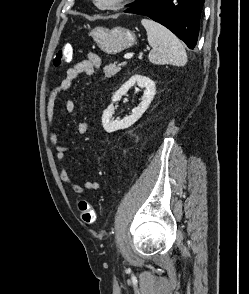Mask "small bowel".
<instances>
[{
  "label": "small bowel",
  "mask_w": 249,
  "mask_h": 294,
  "mask_svg": "<svg viewBox=\"0 0 249 294\" xmlns=\"http://www.w3.org/2000/svg\"><path fill=\"white\" fill-rule=\"evenodd\" d=\"M102 65V59L96 53L90 52L87 58L74 64L66 71L65 78L52 90L47 106L46 116L48 122V138L50 145L55 150L56 159L59 162V178L61 182L70 187L72 193L80 195L85 190L96 191L101 188V183L98 181H86L83 184H79L73 180L68 170L64 166L66 155L70 152V148L63 145L57 134L56 127L54 125V114L56 101L59 95L67 94L70 90L72 82L80 75L85 74L92 76L97 69ZM65 109L68 113H73L76 109L75 102L68 99L65 102ZM89 131V124L87 121H79L77 124V132L81 135L86 134Z\"/></svg>",
  "instance_id": "obj_1"
}]
</instances>
